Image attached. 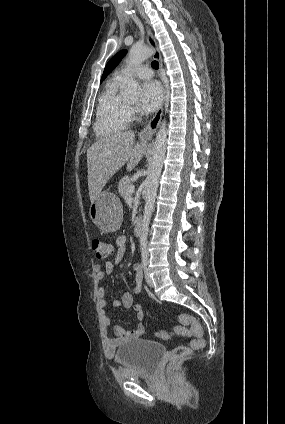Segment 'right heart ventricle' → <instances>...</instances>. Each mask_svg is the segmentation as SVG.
Returning a JSON list of instances; mask_svg holds the SVG:
<instances>
[{"mask_svg":"<svg viewBox=\"0 0 285 424\" xmlns=\"http://www.w3.org/2000/svg\"><path fill=\"white\" fill-rule=\"evenodd\" d=\"M123 77L114 75L105 85L97 104L94 129L98 136L119 133L127 128L130 110L120 94Z\"/></svg>","mask_w":285,"mask_h":424,"instance_id":"e07e8e85","label":"right heart ventricle"}]
</instances>
